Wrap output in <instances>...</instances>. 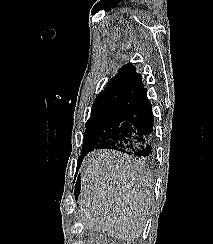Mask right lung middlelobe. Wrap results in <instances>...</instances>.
Returning <instances> with one entry per match:
<instances>
[{
  "label": "right lung middle lobe",
  "instance_id": "dd1d6c3e",
  "mask_svg": "<svg viewBox=\"0 0 213 244\" xmlns=\"http://www.w3.org/2000/svg\"><path fill=\"white\" fill-rule=\"evenodd\" d=\"M136 97L119 95L95 100L86 123L82 154L113 137L133 111Z\"/></svg>",
  "mask_w": 213,
  "mask_h": 244
}]
</instances>
